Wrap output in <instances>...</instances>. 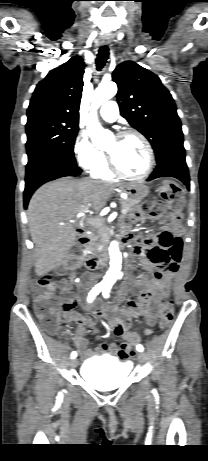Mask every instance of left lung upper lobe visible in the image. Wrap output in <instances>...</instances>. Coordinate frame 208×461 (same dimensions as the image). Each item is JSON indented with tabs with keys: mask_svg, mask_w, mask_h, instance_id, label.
Returning a JSON list of instances; mask_svg holds the SVG:
<instances>
[{
	"mask_svg": "<svg viewBox=\"0 0 208 461\" xmlns=\"http://www.w3.org/2000/svg\"><path fill=\"white\" fill-rule=\"evenodd\" d=\"M112 77L118 85L121 115L148 139L156 160L171 151L184 150L174 100L159 77L132 61L119 64Z\"/></svg>",
	"mask_w": 208,
	"mask_h": 461,
	"instance_id": "1",
	"label": "left lung upper lobe"
}]
</instances>
